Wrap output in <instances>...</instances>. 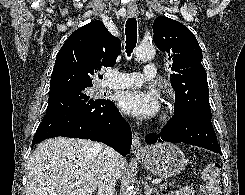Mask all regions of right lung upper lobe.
I'll return each instance as SVG.
<instances>
[{
	"label": "right lung upper lobe",
	"instance_id": "cb5924a9",
	"mask_svg": "<svg viewBox=\"0 0 245 195\" xmlns=\"http://www.w3.org/2000/svg\"><path fill=\"white\" fill-rule=\"evenodd\" d=\"M121 53V41L95 20L74 31L57 54L50 93L75 87H91L94 73L113 67Z\"/></svg>",
	"mask_w": 245,
	"mask_h": 195
}]
</instances>
